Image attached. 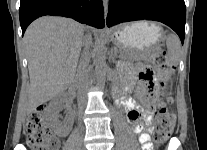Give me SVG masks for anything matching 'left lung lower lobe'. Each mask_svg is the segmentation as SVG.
Returning <instances> with one entry per match:
<instances>
[{
  "label": "left lung lower lobe",
  "mask_w": 207,
  "mask_h": 150,
  "mask_svg": "<svg viewBox=\"0 0 207 150\" xmlns=\"http://www.w3.org/2000/svg\"><path fill=\"white\" fill-rule=\"evenodd\" d=\"M153 20L171 27L184 42L186 7L184 0H109L107 26Z\"/></svg>",
  "instance_id": "1"
}]
</instances>
